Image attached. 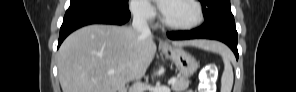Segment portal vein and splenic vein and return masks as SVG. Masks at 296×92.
I'll use <instances>...</instances> for the list:
<instances>
[{
  "label": "portal vein and splenic vein",
  "mask_w": 296,
  "mask_h": 92,
  "mask_svg": "<svg viewBox=\"0 0 296 92\" xmlns=\"http://www.w3.org/2000/svg\"><path fill=\"white\" fill-rule=\"evenodd\" d=\"M114 73H116V71L113 70V69H111V70L108 71V74H114ZM175 82H176V78H171V79L168 81V84H169V85H172V84H174Z\"/></svg>",
  "instance_id": "obj_1"
}]
</instances>
